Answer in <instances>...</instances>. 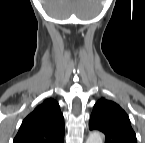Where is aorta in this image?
Masks as SVG:
<instances>
[{
  "label": "aorta",
  "mask_w": 145,
  "mask_h": 143,
  "mask_svg": "<svg viewBox=\"0 0 145 143\" xmlns=\"http://www.w3.org/2000/svg\"><path fill=\"white\" fill-rule=\"evenodd\" d=\"M86 143H103V136L99 131H93L88 135Z\"/></svg>",
  "instance_id": "obj_1"
}]
</instances>
